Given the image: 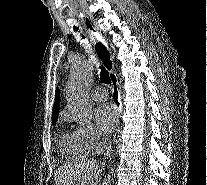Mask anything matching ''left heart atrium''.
I'll return each mask as SVG.
<instances>
[{
  "instance_id": "1",
  "label": "left heart atrium",
  "mask_w": 207,
  "mask_h": 185,
  "mask_svg": "<svg viewBox=\"0 0 207 185\" xmlns=\"http://www.w3.org/2000/svg\"><path fill=\"white\" fill-rule=\"evenodd\" d=\"M95 120L99 129L104 133L111 132L118 121V111L110 103L100 105L95 112Z\"/></svg>"
}]
</instances>
